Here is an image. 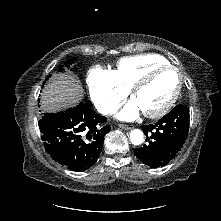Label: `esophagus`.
<instances>
[{"instance_id":"1","label":"esophagus","mask_w":221,"mask_h":221,"mask_svg":"<svg viewBox=\"0 0 221 221\" xmlns=\"http://www.w3.org/2000/svg\"><path fill=\"white\" fill-rule=\"evenodd\" d=\"M119 127L121 129H124V130H130L131 129V127L129 125H126V124H119Z\"/></svg>"}]
</instances>
